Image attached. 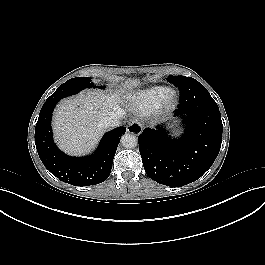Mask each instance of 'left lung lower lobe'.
<instances>
[{
    "label": "left lung lower lobe",
    "instance_id": "0a47b994",
    "mask_svg": "<svg viewBox=\"0 0 265 265\" xmlns=\"http://www.w3.org/2000/svg\"><path fill=\"white\" fill-rule=\"evenodd\" d=\"M174 115L183 118L185 133L175 139L163 126L145 128L139 150L146 174L154 181L182 187L200 178L213 164L222 143V120L216 102L205 101V87L197 81L181 83Z\"/></svg>",
    "mask_w": 265,
    "mask_h": 265
}]
</instances>
